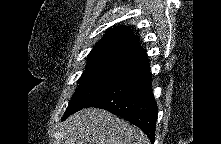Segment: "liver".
Returning <instances> with one entry per match:
<instances>
[{
  "instance_id": "obj_1",
  "label": "liver",
  "mask_w": 221,
  "mask_h": 144,
  "mask_svg": "<svg viewBox=\"0 0 221 144\" xmlns=\"http://www.w3.org/2000/svg\"><path fill=\"white\" fill-rule=\"evenodd\" d=\"M65 124V144H150L140 129L102 109H82Z\"/></svg>"
}]
</instances>
